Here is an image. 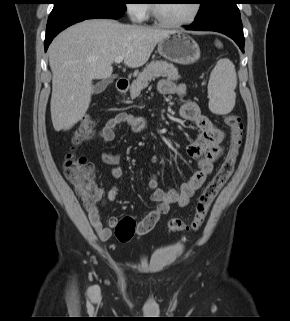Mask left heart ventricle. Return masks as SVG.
<instances>
[{
  "label": "left heart ventricle",
  "instance_id": "1",
  "mask_svg": "<svg viewBox=\"0 0 290 321\" xmlns=\"http://www.w3.org/2000/svg\"><path fill=\"white\" fill-rule=\"evenodd\" d=\"M162 16L168 20L180 21L189 18L194 9L193 0H162L159 4Z\"/></svg>",
  "mask_w": 290,
  "mask_h": 321
}]
</instances>
